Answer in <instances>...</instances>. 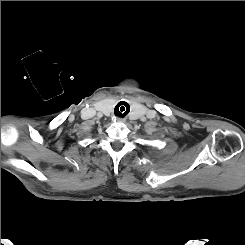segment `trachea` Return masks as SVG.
<instances>
[{
	"label": "trachea",
	"mask_w": 245,
	"mask_h": 245,
	"mask_svg": "<svg viewBox=\"0 0 245 245\" xmlns=\"http://www.w3.org/2000/svg\"><path fill=\"white\" fill-rule=\"evenodd\" d=\"M114 111L117 117L124 118L130 112V105L125 101H121L115 106Z\"/></svg>",
	"instance_id": "1"
}]
</instances>
